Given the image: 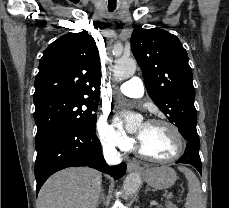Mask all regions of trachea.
I'll return each mask as SVG.
<instances>
[{"label": "trachea", "mask_w": 229, "mask_h": 208, "mask_svg": "<svg viewBox=\"0 0 229 208\" xmlns=\"http://www.w3.org/2000/svg\"><path fill=\"white\" fill-rule=\"evenodd\" d=\"M115 9H116V7H108V10H109L110 12H113Z\"/></svg>", "instance_id": "obj_1"}]
</instances>
